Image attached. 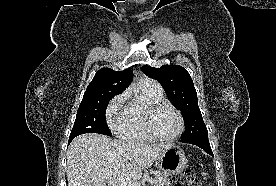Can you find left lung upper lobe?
Wrapping results in <instances>:
<instances>
[{
    "label": "left lung upper lobe",
    "instance_id": "5c2ea615",
    "mask_svg": "<svg viewBox=\"0 0 276 186\" xmlns=\"http://www.w3.org/2000/svg\"><path fill=\"white\" fill-rule=\"evenodd\" d=\"M141 71L157 80L174 106L182 112L185 132L181 140L208 136L193 81L185 68L179 65H163L160 68L145 65Z\"/></svg>",
    "mask_w": 276,
    "mask_h": 186
}]
</instances>
